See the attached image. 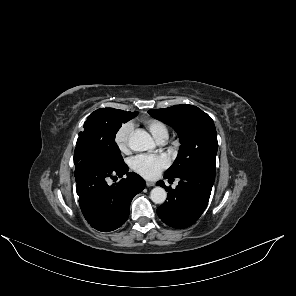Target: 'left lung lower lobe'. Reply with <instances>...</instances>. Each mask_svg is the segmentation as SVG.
Instances as JSON below:
<instances>
[{"instance_id":"1","label":"left lung lower lobe","mask_w":296,"mask_h":296,"mask_svg":"<svg viewBox=\"0 0 296 296\" xmlns=\"http://www.w3.org/2000/svg\"><path fill=\"white\" fill-rule=\"evenodd\" d=\"M215 172L213 169L200 168L183 173L178 176L180 181L176 189L167 187L163 181H158L157 185L164 187L168 192V201L157 208L160 219L173 228L193 225L207 206ZM164 177L173 180V177Z\"/></svg>"}]
</instances>
